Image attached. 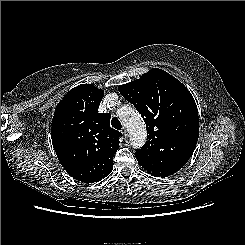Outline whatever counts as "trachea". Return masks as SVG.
<instances>
[{
	"mask_svg": "<svg viewBox=\"0 0 245 245\" xmlns=\"http://www.w3.org/2000/svg\"><path fill=\"white\" fill-rule=\"evenodd\" d=\"M111 125L117 130H121L122 128L121 122L117 118L112 119Z\"/></svg>",
	"mask_w": 245,
	"mask_h": 245,
	"instance_id": "obj_1",
	"label": "trachea"
}]
</instances>
